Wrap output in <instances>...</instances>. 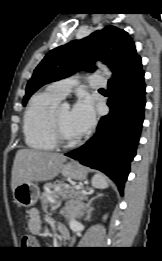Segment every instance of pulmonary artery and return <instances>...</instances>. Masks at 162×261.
Instances as JSON below:
<instances>
[{"mask_svg":"<svg viewBox=\"0 0 162 261\" xmlns=\"http://www.w3.org/2000/svg\"><path fill=\"white\" fill-rule=\"evenodd\" d=\"M77 84V79L70 77L50 83L47 89L60 99H63ZM89 86L92 89H103L107 87V81L100 75H93L89 77Z\"/></svg>","mask_w":162,"mask_h":261,"instance_id":"pulmonary-artery-1","label":"pulmonary artery"}]
</instances>
